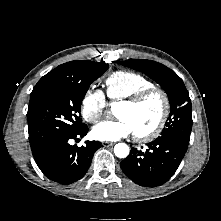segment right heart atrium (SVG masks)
Listing matches in <instances>:
<instances>
[{
    "mask_svg": "<svg viewBox=\"0 0 221 221\" xmlns=\"http://www.w3.org/2000/svg\"><path fill=\"white\" fill-rule=\"evenodd\" d=\"M106 108L104 93L99 89H89L81 100L80 112L86 122L95 124L102 118Z\"/></svg>",
    "mask_w": 221,
    "mask_h": 221,
    "instance_id": "right-heart-atrium-1",
    "label": "right heart atrium"
}]
</instances>
